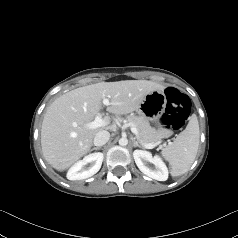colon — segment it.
Listing matches in <instances>:
<instances>
[{
    "label": "colon",
    "mask_w": 238,
    "mask_h": 238,
    "mask_svg": "<svg viewBox=\"0 0 238 238\" xmlns=\"http://www.w3.org/2000/svg\"><path fill=\"white\" fill-rule=\"evenodd\" d=\"M167 101L165 113L162 117V124L166 128L180 129L186 122L190 112V100L174 87L165 90Z\"/></svg>",
    "instance_id": "obj_1"
}]
</instances>
